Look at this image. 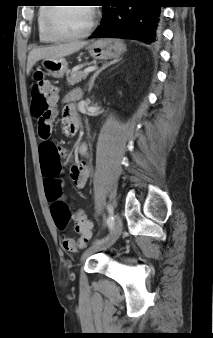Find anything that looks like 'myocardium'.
<instances>
[{
  "instance_id": "f54148a6",
  "label": "myocardium",
  "mask_w": 213,
  "mask_h": 338,
  "mask_svg": "<svg viewBox=\"0 0 213 338\" xmlns=\"http://www.w3.org/2000/svg\"><path fill=\"white\" fill-rule=\"evenodd\" d=\"M58 7H63V6H58ZM58 7L49 8L47 13H46L45 21H44L45 32L52 39L60 40V41H67V40H74V39L83 38V37H86L87 35H89L93 31V29L95 28L96 22H97V10L93 6H85V7L89 8L90 12H91V18H90L88 26L83 31H81L79 33H74V34L59 33L58 31H56L53 28V25H52V15H53V12L55 11V9L58 8Z\"/></svg>"
}]
</instances>
